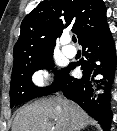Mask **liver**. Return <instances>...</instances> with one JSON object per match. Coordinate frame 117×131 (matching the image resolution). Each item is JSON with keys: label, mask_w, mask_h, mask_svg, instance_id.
Segmentation results:
<instances>
[{"label": "liver", "mask_w": 117, "mask_h": 131, "mask_svg": "<svg viewBox=\"0 0 117 131\" xmlns=\"http://www.w3.org/2000/svg\"><path fill=\"white\" fill-rule=\"evenodd\" d=\"M87 124L88 116L77 104L49 98L21 108L12 131H80Z\"/></svg>", "instance_id": "6515ba94"}]
</instances>
